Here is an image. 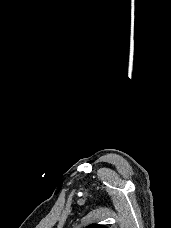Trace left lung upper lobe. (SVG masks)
Instances as JSON below:
<instances>
[{"label":"left lung upper lobe","instance_id":"5c2ea615","mask_svg":"<svg viewBox=\"0 0 171 228\" xmlns=\"http://www.w3.org/2000/svg\"><path fill=\"white\" fill-rule=\"evenodd\" d=\"M87 228H106L105 225H100V224H93L88 226Z\"/></svg>","mask_w":171,"mask_h":228}]
</instances>
